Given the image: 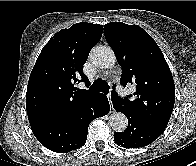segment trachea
I'll list each match as a JSON object with an SVG mask.
<instances>
[{
  "label": "trachea",
  "instance_id": "trachea-1",
  "mask_svg": "<svg viewBox=\"0 0 196 166\" xmlns=\"http://www.w3.org/2000/svg\"><path fill=\"white\" fill-rule=\"evenodd\" d=\"M109 89H110V86L108 85V83L102 79L95 80L90 87L91 91L102 92L105 94L109 92Z\"/></svg>",
  "mask_w": 196,
  "mask_h": 166
}]
</instances>
